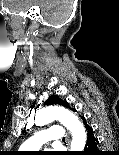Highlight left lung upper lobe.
Returning a JSON list of instances; mask_svg holds the SVG:
<instances>
[{
	"mask_svg": "<svg viewBox=\"0 0 119 155\" xmlns=\"http://www.w3.org/2000/svg\"><path fill=\"white\" fill-rule=\"evenodd\" d=\"M44 104L45 105H62L64 107L70 108L69 104L66 101H62L60 98H58L57 95L50 96Z\"/></svg>",
	"mask_w": 119,
	"mask_h": 155,
	"instance_id": "5c2ea615",
	"label": "left lung upper lobe"
}]
</instances>
